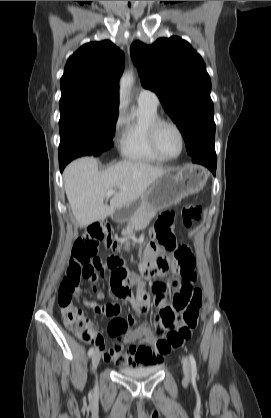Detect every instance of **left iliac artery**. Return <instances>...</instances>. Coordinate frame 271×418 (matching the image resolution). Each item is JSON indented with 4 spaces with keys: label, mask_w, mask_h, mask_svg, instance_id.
Returning <instances> with one entry per match:
<instances>
[{
    "label": "left iliac artery",
    "mask_w": 271,
    "mask_h": 418,
    "mask_svg": "<svg viewBox=\"0 0 271 418\" xmlns=\"http://www.w3.org/2000/svg\"><path fill=\"white\" fill-rule=\"evenodd\" d=\"M189 360L191 364V374L193 377L197 375V367H196V361L193 355H189Z\"/></svg>",
    "instance_id": "obj_1"
}]
</instances>
